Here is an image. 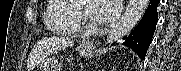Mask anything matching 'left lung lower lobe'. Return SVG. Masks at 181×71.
<instances>
[{
	"label": "left lung lower lobe",
	"instance_id": "0a47b994",
	"mask_svg": "<svg viewBox=\"0 0 181 71\" xmlns=\"http://www.w3.org/2000/svg\"><path fill=\"white\" fill-rule=\"evenodd\" d=\"M160 0H150L146 12L137 27L119 44L131 48L141 59H145L158 21L157 6Z\"/></svg>",
	"mask_w": 181,
	"mask_h": 71
}]
</instances>
